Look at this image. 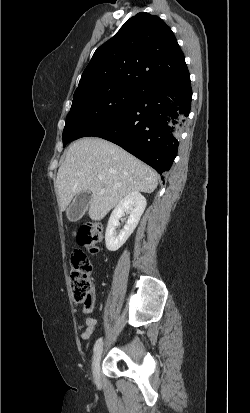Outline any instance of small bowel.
<instances>
[{
  "label": "small bowel",
  "mask_w": 250,
  "mask_h": 413,
  "mask_svg": "<svg viewBox=\"0 0 250 413\" xmlns=\"http://www.w3.org/2000/svg\"><path fill=\"white\" fill-rule=\"evenodd\" d=\"M92 306H84L83 308V315H84V324L86 326L85 330L81 334V338L83 340H88L92 333L94 332L97 320L88 316V314L92 311Z\"/></svg>",
  "instance_id": "c3829d8e"
}]
</instances>
